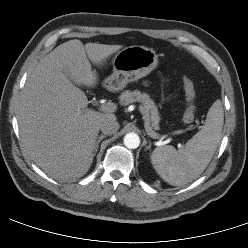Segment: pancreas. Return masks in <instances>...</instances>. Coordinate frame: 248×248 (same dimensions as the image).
<instances>
[{
  "label": "pancreas",
  "mask_w": 248,
  "mask_h": 248,
  "mask_svg": "<svg viewBox=\"0 0 248 248\" xmlns=\"http://www.w3.org/2000/svg\"><path fill=\"white\" fill-rule=\"evenodd\" d=\"M120 102L122 105H129L134 102H140L145 115V125L149 126L151 129H159L158 124L160 121V116L158 108L154 101L150 98V95L147 93H141L139 90H127L120 95Z\"/></svg>",
  "instance_id": "cf45deb5"
}]
</instances>
